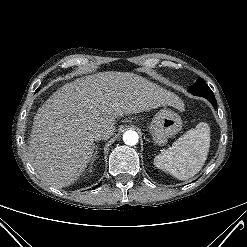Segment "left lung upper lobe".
<instances>
[{
    "label": "left lung upper lobe",
    "mask_w": 247,
    "mask_h": 247,
    "mask_svg": "<svg viewBox=\"0 0 247 247\" xmlns=\"http://www.w3.org/2000/svg\"><path fill=\"white\" fill-rule=\"evenodd\" d=\"M189 92L196 96L213 97L214 94L209 86L202 78H199L196 83L190 87Z\"/></svg>",
    "instance_id": "5c2ea615"
}]
</instances>
